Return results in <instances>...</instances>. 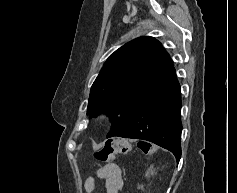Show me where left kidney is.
I'll return each instance as SVG.
<instances>
[{"mask_svg":"<svg viewBox=\"0 0 237 193\" xmlns=\"http://www.w3.org/2000/svg\"><path fill=\"white\" fill-rule=\"evenodd\" d=\"M150 174H151V175L153 174V168L151 169L150 172H147V173H146V176H149Z\"/></svg>","mask_w":237,"mask_h":193,"instance_id":"left-kidney-1","label":"left kidney"}]
</instances>
